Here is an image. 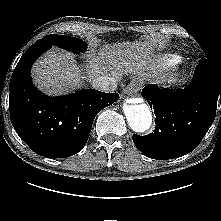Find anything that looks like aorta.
Segmentation results:
<instances>
[{"mask_svg":"<svg viewBox=\"0 0 221 221\" xmlns=\"http://www.w3.org/2000/svg\"><path fill=\"white\" fill-rule=\"evenodd\" d=\"M123 112L129 127L134 132L143 133L150 128L152 124V115L147 104H124Z\"/></svg>","mask_w":221,"mask_h":221,"instance_id":"762f6f07","label":"aorta"}]
</instances>
